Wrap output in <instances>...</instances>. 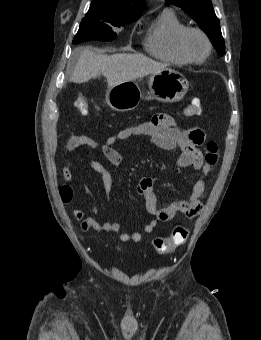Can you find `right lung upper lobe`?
<instances>
[{
	"instance_id": "cb5924a9",
	"label": "right lung upper lobe",
	"mask_w": 261,
	"mask_h": 340,
	"mask_svg": "<svg viewBox=\"0 0 261 340\" xmlns=\"http://www.w3.org/2000/svg\"><path fill=\"white\" fill-rule=\"evenodd\" d=\"M145 0H92L90 10H99L118 17L140 18Z\"/></svg>"
}]
</instances>
